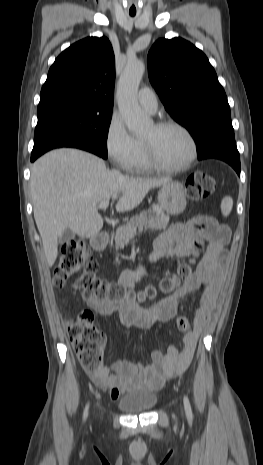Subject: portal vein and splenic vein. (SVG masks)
Returning <instances> with one entry per match:
<instances>
[{
	"mask_svg": "<svg viewBox=\"0 0 263 465\" xmlns=\"http://www.w3.org/2000/svg\"><path fill=\"white\" fill-rule=\"evenodd\" d=\"M108 205H109V199L103 200L99 204V209L105 210L108 207Z\"/></svg>",
	"mask_w": 263,
	"mask_h": 465,
	"instance_id": "18ae733b",
	"label": "portal vein and splenic vein"
}]
</instances>
